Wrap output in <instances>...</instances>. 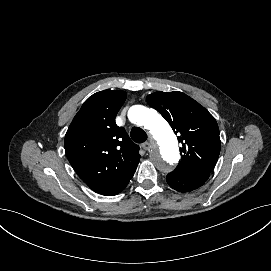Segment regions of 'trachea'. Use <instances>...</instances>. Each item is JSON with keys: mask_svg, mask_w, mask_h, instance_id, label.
Wrapping results in <instances>:
<instances>
[{"mask_svg": "<svg viewBox=\"0 0 271 271\" xmlns=\"http://www.w3.org/2000/svg\"><path fill=\"white\" fill-rule=\"evenodd\" d=\"M130 136L132 140L136 143H143L147 139L146 132L139 127H132V129L130 130Z\"/></svg>", "mask_w": 271, "mask_h": 271, "instance_id": "3493384b", "label": "trachea"}]
</instances>
